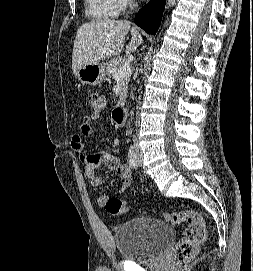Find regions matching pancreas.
<instances>
[{"mask_svg":"<svg viewBox=\"0 0 253 271\" xmlns=\"http://www.w3.org/2000/svg\"><path fill=\"white\" fill-rule=\"evenodd\" d=\"M124 64L122 58L116 57L105 63L106 74L111 77L115 83L120 85L121 91L117 105H123L127 96L128 82L130 81L131 74H127L122 78H118V68Z\"/></svg>","mask_w":253,"mask_h":271,"instance_id":"cf45deb5","label":"pancreas"}]
</instances>
